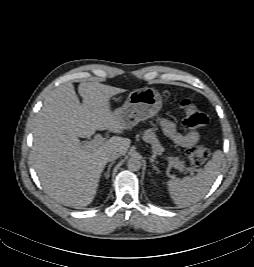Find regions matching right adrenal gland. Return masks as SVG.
<instances>
[{
  "label": "right adrenal gland",
  "mask_w": 254,
  "mask_h": 267,
  "mask_svg": "<svg viewBox=\"0 0 254 267\" xmlns=\"http://www.w3.org/2000/svg\"><path fill=\"white\" fill-rule=\"evenodd\" d=\"M113 164H114V162H111V163L108 165L107 171L104 173V176H105L106 178H109V176H110V169H111V167H112Z\"/></svg>",
  "instance_id": "2a0ac1e0"
}]
</instances>
